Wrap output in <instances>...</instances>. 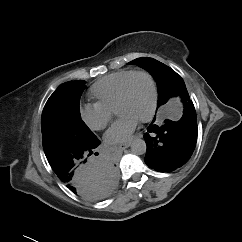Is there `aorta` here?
Listing matches in <instances>:
<instances>
[{
    "label": "aorta",
    "instance_id": "762f6f07",
    "mask_svg": "<svg viewBox=\"0 0 242 242\" xmlns=\"http://www.w3.org/2000/svg\"><path fill=\"white\" fill-rule=\"evenodd\" d=\"M146 143L142 139H135L131 144V151L135 155H143L146 153Z\"/></svg>",
    "mask_w": 242,
    "mask_h": 242
}]
</instances>
